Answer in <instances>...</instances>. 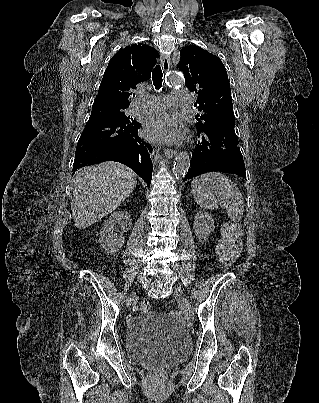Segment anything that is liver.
<instances>
[{
	"label": "liver",
	"instance_id": "obj_1",
	"mask_svg": "<svg viewBox=\"0 0 319 403\" xmlns=\"http://www.w3.org/2000/svg\"><path fill=\"white\" fill-rule=\"evenodd\" d=\"M136 177L130 168L116 162L78 170L71 201L75 226L87 228L117 209L136 187Z\"/></svg>",
	"mask_w": 319,
	"mask_h": 403
}]
</instances>
